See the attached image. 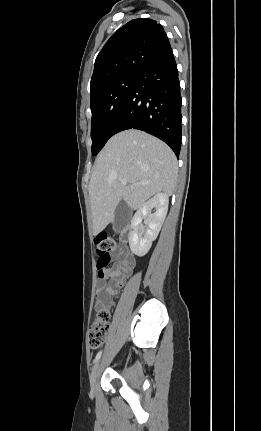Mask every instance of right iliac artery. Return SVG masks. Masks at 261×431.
<instances>
[{
	"label": "right iliac artery",
	"instance_id": "obj_1",
	"mask_svg": "<svg viewBox=\"0 0 261 431\" xmlns=\"http://www.w3.org/2000/svg\"><path fill=\"white\" fill-rule=\"evenodd\" d=\"M101 355H102V351L98 352V354L96 355V357H95V359H94L93 362L97 363V361L100 359Z\"/></svg>",
	"mask_w": 261,
	"mask_h": 431
}]
</instances>
